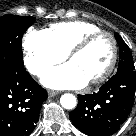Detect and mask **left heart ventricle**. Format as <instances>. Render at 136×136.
I'll return each mask as SVG.
<instances>
[{
	"instance_id": "b2bd125f",
	"label": "left heart ventricle",
	"mask_w": 136,
	"mask_h": 136,
	"mask_svg": "<svg viewBox=\"0 0 136 136\" xmlns=\"http://www.w3.org/2000/svg\"><path fill=\"white\" fill-rule=\"evenodd\" d=\"M112 57V43L108 36L96 38L84 51L70 59L88 81L99 76Z\"/></svg>"
}]
</instances>
